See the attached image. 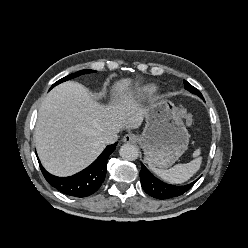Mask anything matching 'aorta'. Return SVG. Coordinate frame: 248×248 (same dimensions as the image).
Wrapping results in <instances>:
<instances>
[{
	"label": "aorta",
	"mask_w": 248,
	"mask_h": 248,
	"mask_svg": "<svg viewBox=\"0 0 248 248\" xmlns=\"http://www.w3.org/2000/svg\"><path fill=\"white\" fill-rule=\"evenodd\" d=\"M120 156L129 161L136 160L139 155V150L136 146L131 144H124L119 150Z\"/></svg>",
	"instance_id": "obj_1"
}]
</instances>
